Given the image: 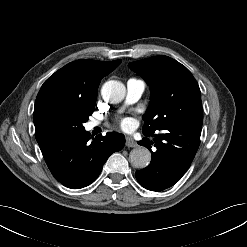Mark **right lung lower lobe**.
I'll return each mask as SVG.
<instances>
[{"mask_svg":"<svg viewBox=\"0 0 247 247\" xmlns=\"http://www.w3.org/2000/svg\"><path fill=\"white\" fill-rule=\"evenodd\" d=\"M46 164L53 176L64 186L79 189L91 184L100 174L108 157L120 151L125 137L116 132L90 137L80 131H36Z\"/></svg>","mask_w":247,"mask_h":247,"instance_id":"1","label":"right lung lower lobe"}]
</instances>
